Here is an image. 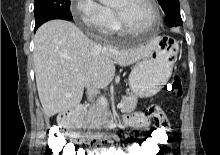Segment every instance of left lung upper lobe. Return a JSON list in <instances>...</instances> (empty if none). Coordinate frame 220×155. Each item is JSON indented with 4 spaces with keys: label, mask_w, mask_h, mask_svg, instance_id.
<instances>
[{
    "label": "left lung upper lobe",
    "mask_w": 220,
    "mask_h": 155,
    "mask_svg": "<svg viewBox=\"0 0 220 155\" xmlns=\"http://www.w3.org/2000/svg\"><path fill=\"white\" fill-rule=\"evenodd\" d=\"M165 14L180 11L179 0H158Z\"/></svg>",
    "instance_id": "obj_1"
}]
</instances>
